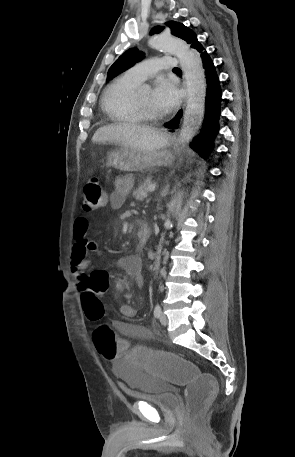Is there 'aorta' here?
Wrapping results in <instances>:
<instances>
[{
	"label": "aorta",
	"instance_id": "762f6f07",
	"mask_svg": "<svg viewBox=\"0 0 295 457\" xmlns=\"http://www.w3.org/2000/svg\"><path fill=\"white\" fill-rule=\"evenodd\" d=\"M149 44L155 49L171 51L179 59L187 83L188 93L187 106L180 132L181 142L186 143L196 134L204 115L206 79L201 58L195 51L190 50L189 45L185 41L169 34L156 35L150 39ZM175 203V200H173L168 205L169 214L173 212ZM170 224V219H166L164 223L165 229H167ZM164 236L165 233H162L157 248L155 270H158L160 266V254Z\"/></svg>",
	"mask_w": 295,
	"mask_h": 457
}]
</instances>
